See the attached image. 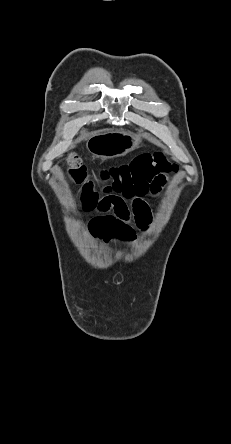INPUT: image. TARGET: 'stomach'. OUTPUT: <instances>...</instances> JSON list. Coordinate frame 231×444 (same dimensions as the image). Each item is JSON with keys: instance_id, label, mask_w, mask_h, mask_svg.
<instances>
[{"instance_id": "obj_1", "label": "stomach", "mask_w": 231, "mask_h": 444, "mask_svg": "<svg viewBox=\"0 0 231 444\" xmlns=\"http://www.w3.org/2000/svg\"><path fill=\"white\" fill-rule=\"evenodd\" d=\"M140 142L141 138L131 133L105 132L91 138L87 147L98 158H114L133 150Z\"/></svg>"}]
</instances>
